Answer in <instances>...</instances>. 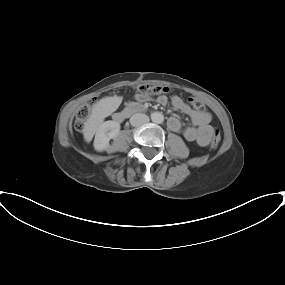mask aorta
Returning a JSON list of instances; mask_svg holds the SVG:
<instances>
[{
    "label": "aorta",
    "mask_w": 285,
    "mask_h": 285,
    "mask_svg": "<svg viewBox=\"0 0 285 285\" xmlns=\"http://www.w3.org/2000/svg\"><path fill=\"white\" fill-rule=\"evenodd\" d=\"M151 120L154 123L161 124L164 121V115L161 112H154L151 114Z\"/></svg>",
    "instance_id": "1"
}]
</instances>
